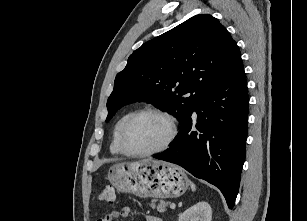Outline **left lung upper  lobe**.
I'll return each instance as SVG.
<instances>
[{"label": "left lung upper lobe", "instance_id": "left-lung-upper-lobe-1", "mask_svg": "<svg viewBox=\"0 0 307 221\" xmlns=\"http://www.w3.org/2000/svg\"><path fill=\"white\" fill-rule=\"evenodd\" d=\"M239 56L236 42L216 18L193 16L129 56L115 78L106 121L122 106L146 101L173 114L182 126Z\"/></svg>", "mask_w": 307, "mask_h": 221}]
</instances>
